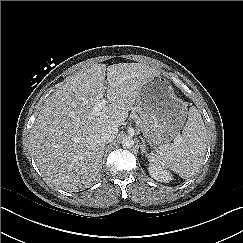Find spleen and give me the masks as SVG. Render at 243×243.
Returning a JSON list of instances; mask_svg holds the SVG:
<instances>
[{"instance_id": "3e777b00", "label": "spleen", "mask_w": 243, "mask_h": 243, "mask_svg": "<svg viewBox=\"0 0 243 243\" xmlns=\"http://www.w3.org/2000/svg\"><path fill=\"white\" fill-rule=\"evenodd\" d=\"M206 128L201 114L190 107L182 135L171 144L161 145L148 155L149 162L157 168L169 169L187 179L200 168L206 150Z\"/></svg>"}]
</instances>
